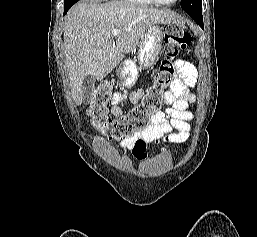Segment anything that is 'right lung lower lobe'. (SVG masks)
<instances>
[{
  "label": "right lung lower lobe",
  "mask_w": 257,
  "mask_h": 237,
  "mask_svg": "<svg viewBox=\"0 0 257 237\" xmlns=\"http://www.w3.org/2000/svg\"><path fill=\"white\" fill-rule=\"evenodd\" d=\"M69 9H70V8L64 9V15L67 13V11H68Z\"/></svg>",
  "instance_id": "98d812e1"
}]
</instances>
